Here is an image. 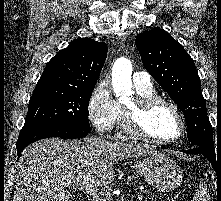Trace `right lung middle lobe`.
<instances>
[{
	"mask_svg": "<svg viewBox=\"0 0 221 201\" xmlns=\"http://www.w3.org/2000/svg\"><path fill=\"white\" fill-rule=\"evenodd\" d=\"M92 91L35 89L23 128L65 125L90 131L88 105Z\"/></svg>",
	"mask_w": 221,
	"mask_h": 201,
	"instance_id": "dd1d6c3e",
	"label": "right lung middle lobe"
}]
</instances>
